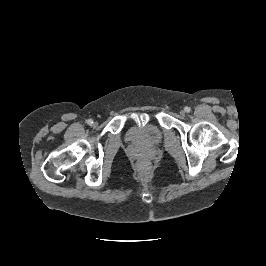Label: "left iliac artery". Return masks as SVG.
<instances>
[{
	"mask_svg": "<svg viewBox=\"0 0 266 266\" xmlns=\"http://www.w3.org/2000/svg\"><path fill=\"white\" fill-rule=\"evenodd\" d=\"M184 110H185L186 112H190V111H191V108H190V107H185Z\"/></svg>",
	"mask_w": 266,
	"mask_h": 266,
	"instance_id": "obj_1",
	"label": "left iliac artery"
}]
</instances>
